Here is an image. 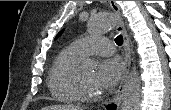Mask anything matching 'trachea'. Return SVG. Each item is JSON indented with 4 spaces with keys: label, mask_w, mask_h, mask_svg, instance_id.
<instances>
[{
    "label": "trachea",
    "mask_w": 171,
    "mask_h": 110,
    "mask_svg": "<svg viewBox=\"0 0 171 110\" xmlns=\"http://www.w3.org/2000/svg\"><path fill=\"white\" fill-rule=\"evenodd\" d=\"M115 42L118 46H121L123 44V37L122 35H118L116 38H115Z\"/></svg>",
    "instance_id": "trachea-1"
}]
</instances>
